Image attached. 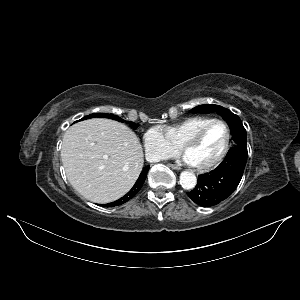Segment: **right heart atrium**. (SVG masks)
<instances>
[{"label": "right heart atrium", "mask_w": 300, "mask_h": 300, "mask_svg": "<svg viewBox=\"0 0 300 300\" xmlns=\"http://www.w3.org/2000/svg\"><path fill=\"white\" fill-rule=\"evenodd\" d=\"M145 155L151 162H158L175 156L179 147L174 145L164 130L159 127L149 128L143 135Z\"/></svg>", "instance_id": "1"}]
</instances>
